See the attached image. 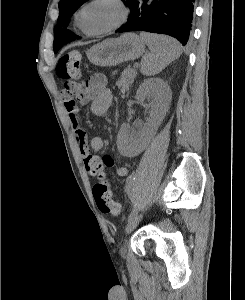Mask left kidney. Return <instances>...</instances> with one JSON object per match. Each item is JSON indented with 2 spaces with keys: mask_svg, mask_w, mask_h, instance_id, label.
Listing matches in <instances>:
<instances>
[{
  "mask_svg": "<svg viewBox=\"0 0 245 300\" xmlns=\"http://www.w3.org/2000/svg\"><path fill=\"white\" fill-rule=\"evenodd\" d=\"M171 90L160 78L144 80L136 93V100L149 110V122L140 130H130L123 125L118 136V148L125 155L134 154L140 150L153 135L163 121L171 102ZM148 100V104L145 103Z\"/></svg>",
  "mask_w": 245,
  "mask_h": 300,
  "instance_id": "1",
  "label": "left kidney"
}]
</instances>
